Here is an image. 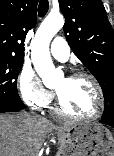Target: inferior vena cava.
I'll list each match as a JSON object with an SVG mask.
<instances>
[{
  "instance_id": "1",
  "label": "inferior vena cava",
  "mask_w": 114,
  "mask_h": 156,
  "mask_svg": "<svg viewBox=\"0 0 114 156\" xmlns=\"http://www.w3.org/2000/svg\"><path fill=\"white\" fill-rule=\"evenodd\" d=\"M32 114H33L34 117H39V116H37V115H36L35 113H33V112H32Z\"/></svg>"
}]
</instances>
